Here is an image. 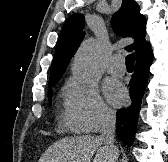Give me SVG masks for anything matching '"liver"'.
<instances>
[{"instance_id": "obj_1", "label": "liver", "mask_w": 168, "mask_h": 162, "mask_svg": "<svg viewBox=\"0 0 168 162\" xmlns=\"http://www.w3.org/2000/svg\"><path fill=\"white\" fill-rule=\"evenodd\" d=\"M95 155V156H94ZM116 162L99 136H78L53 143L38 162Z\"/></svg>"}]
</instances>
